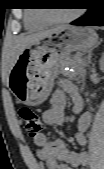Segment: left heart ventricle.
Returning a JSON list of instances; mask_svg holds the SVG:
<instances>
[{"mask_svg":"<svg viewBox=\"0 0 104 169\" xmlns=\"http://www.w3.org/2000/svg\"><path fill=\"white\" fill-rule=\"evenodd\" d=\"M71 12L72 11H68V10H57V11H53L51 15L55 18H62L68 16Z\"/></svg>","mask_w":104,"mask_h":169,"instance_id":"left-heart-ventricle-1","label":"left heart ventricle"}]
</instances>
